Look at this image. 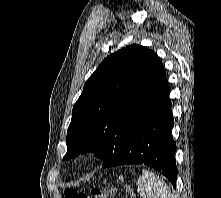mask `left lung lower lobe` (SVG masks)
Listing matches in <instances>:
<instances>
[{
	"label": "left lung lower lobe",
	"mask_w": 221,
	"mask_h": 198,
	"mask_svg": "<svg viewBox=\"0 0 221 198\" xmlns=\"http://www.w3.org/2000/svg\"><path fill=\"white\" fill-rule=\"evenodd\" d=\"M169 93L167 88L155 108L125 140L121 148L104 160L103 167L148 165L164 174L173 187H176V143L171 136L174 120Z\"/></svg>",
	"instance_id": "left-lung-lower-lobe-1"
}]
</instances>
